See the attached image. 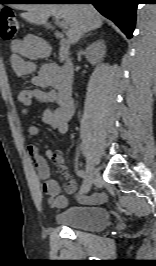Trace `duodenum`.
<instances>
[{
  "mask_svg": "<svg viewBox=\"0 0 156 266\" xmlns=\"http://www.w3.org/2000/svg\"><path fill=\"white\" fill-rule=\"evenodd\" d=\"M57 38L59 39V50L62 55H67L69 48H70V42L67 38H65L61 34H56ZM43 52L46 54L49 52V47L47 45L42 46ZM59 78L62 83V85L66 88L71 90L72 81H73V65L71 61L68 59L65 60L64 64L62 65L60 71H59Z\"/></svg>",
  "mask_w": 156,
  "mask_h": 266,
  "instance_id": "410a0bca",
  "label": "duodenum"
}]
</instances>
